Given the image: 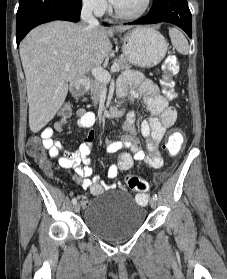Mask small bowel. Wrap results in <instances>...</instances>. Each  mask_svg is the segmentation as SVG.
Listing matches in <instances>:
<instances>
[{"label":"small bowel","instance_id":"c3829d8e","mask_svg":"<svg viewBox=\"0 0 227 279\" xmlns=\"http://www.w3.org/2000/svg\"><path fill=\"white\" fill-rule=\"evenodd\" d=\"M133 97L142 96L143 102L150 116L139 124L140 134L145 140L146 153L139 146V138L136 129V116L134 112L128 114L122 125V133L118 139L107 144L109 155L117 154V161L111 164L108 177L115 179L119 172L129 170L135 160L144 161L152 168H159L163 159L159 153L161 143L167 129L172 127L177 119V111L169 106L167 99L160 93L156 84L143 79L138 73H125L118 82L119 96L125 97L128 92ZM78 126L87 129L84 141L75 151H61V142L53 139L55 132L64 130L67 118L56 117L51 126H46L41 134L43 146L49 150L52 158H57L61 168L74 171L73 179L82 188H92L95 194L102 193L106 186L100 177H92L93 162L91 158L92 144L96 133L93 126L96 123L95 114L84 109H78L74 113ZM83 207H88L91 200L82 197Z\"/></svg>","mask_w":227,"mask_h":279}]
</instances>
